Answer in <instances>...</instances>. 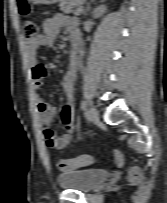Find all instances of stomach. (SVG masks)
<instances>
[{
	"mask_svg": "<svg viewBox=\"0 0 167 203\" xmlns=\"http://www.w3.org/2000/svg\"><path fill=\"white\" fill-rule=\"evenodd\" d=\"M27 1L33 4H54L61 0H27Z\"/></svg>",
	"mask_w": 167,
	"mask_h": 203,
	"instance_id": "1",
	"label": "stomach"
}]
</instances>
